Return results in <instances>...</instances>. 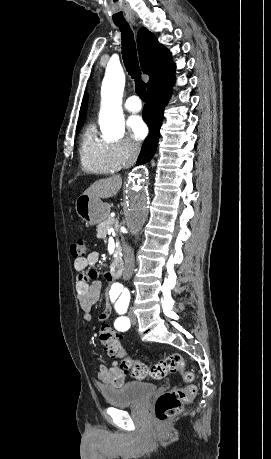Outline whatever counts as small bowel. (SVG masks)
<instances>
[{
	"instance_id": "small-bowel-1",
	"label": "small bowel",
	"mask_w": 271,
	"mask_h": 459,
	"mask_svg": "<svg viewBox=\"0 0 271 459\" xmlns=\"http://www.w3.org/2000/svg\"><path fill=\"white\" fill-rule=\"evenodd\" d=\"M99 261V253L96 251L90 252L85 257L76 258L73 263V268L78 272L76 289L79 296L80 308L85 321H90L92 318V309L100 299L102 279H107L108 275L103 274L94 267ZM111 306L106 302L102 312L98 317L100 323H104L110 316ZM97 377L103 389L119 388L124 385L127 378V370L123 369L117 362H113L110 366L106 364H98L96 367Z\"/></svg>"
}]
</instances>
